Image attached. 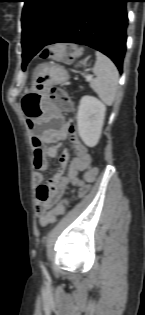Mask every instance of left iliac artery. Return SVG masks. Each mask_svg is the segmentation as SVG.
I'll list each match as a JSON object with an SVG mask.
<instances>
[{
	"instance_id": "left-iliac-artery-1",
	"label": "left iliac artery",
	"mask_w": 145,
	"mask_h": 315,
	"mask_svg": "<svg viewBox=\"0 0 145 315\" xmlns=\"http://www.w3.org/2000/svg\"><path fill=\"white\" fill-rule=\"evenodd\" d=\"M40 266H41V268H43V269H44V266H43V264H42V263H40Z\"/></svg>"
}]
</instances>
